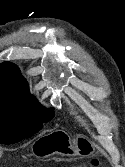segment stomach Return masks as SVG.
Returning a JSON list of instances; mask_svg holds the SVG:
<instances>
[{"instance_id": "1", "label": "stomach", "mask_w": 125, "mask_h": 167, "mask_svg": "<svg viewBox=\"0 0 125 167\" xmlns=\"http://www.w3.org/2000/svg\"><path fill=\"white\" fill-rule=\"evenodd\" d=\"M61 135V138L52 140V138ZM86 140L83 138L71 139L64 132L51 133L33 145V155L37 158H46L52 154L58 153L64 156L85 155L89 153L86 150Z\"/></svg>"}]
</instances>
